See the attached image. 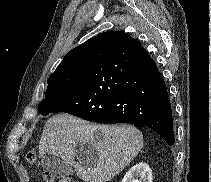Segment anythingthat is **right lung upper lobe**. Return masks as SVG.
<instances>
[{
    "label": "right lung upper lobe",
    "mask_w": 211,
    "mask_h": 182,
    "mask_svg": "<svg viewBox=\"0 0 211 182\" xmlns=\"http://www.w3.org/2000/svg\"><path fill=\"white\" fill-rule=\"evenodd\" d=\"M97 36L92 37L91 39L87 40L83 44L77 46L76 48L72 49L69 53H67L63 61L59 64L53 74L68 66H74L76 64H81L84 62H87L89 64L91 53ZM131 39L133 41H136L133 38Z\"/></svg>",
    "instance_id": "cb5924a9"
}]
</instances>
